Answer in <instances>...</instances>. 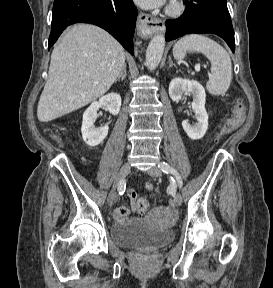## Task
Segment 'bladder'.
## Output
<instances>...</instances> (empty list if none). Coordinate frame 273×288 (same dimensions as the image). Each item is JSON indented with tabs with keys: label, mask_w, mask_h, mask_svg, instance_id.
I'll list each match as a JSON object with an SVG mask.
<instances>
[{
	"label": "bladder",
	"mask_w": 273,
	"mask_h": 288,
	"mask_svg": "<svg viewBox=\"0 0 273 288\" xmlns=\"http://www.w3.org/2000/svg\"><path fill=\"white\" fill-rule=\"evenodd\" d=\"M110 238L119 248L156 250L172 242L174 232L151 228L139 222H124L111 226Z\"/></svg>",
	"instance_id": "obj_1"
}]
</instances>
